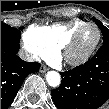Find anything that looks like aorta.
<instances>
[{
  "label": "aorta",
  "instance_id": "762f6f07",
  "mask_svg": "<svg viewBox=\"0 0 109 109\" xmlns=\"http://www.w3.org/2000/svg\"><path fill=\"white\" fill-rule=\"evenodd\" d=\"M46 80L51 87H57L60 85L61 77L56 71H49L46 75Z\"/></svg>",
  "mask_w": 109,
  "mask_h": 109
}]
</instances>
